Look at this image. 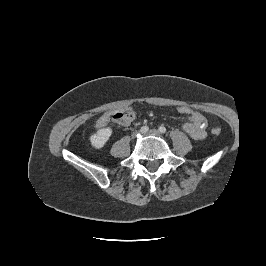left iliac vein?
<instances>
[{"instance_id":"4c4485c4","label":"left iliac vein","mask_w":266,"mask_h":266,"mask_svg":"<svg viewBox=\"0 0 266 266\" xmlns=\"http://www.w3.org/2000/svg\"><path fill=\"white\" fill-rule=\"evenodd\" d=\"M147 134L155 135V136H160L159 131L156 130V129H151Z\"/></svg>"}]
</instances>
